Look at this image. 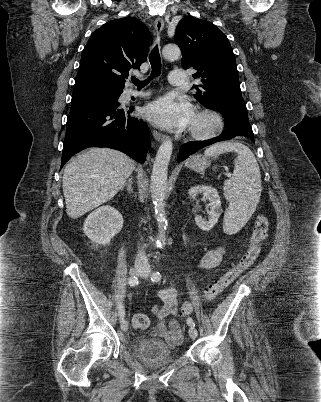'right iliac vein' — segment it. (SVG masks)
<instances>
[{
    "instance_id": "right-iliac-vein-1",
    "label": "right iliac vein",
    "mask_w": 321,
    "mask_h": 402,
    "mask_svg": "<svg viewBox=\"0 0 321 402\" xmlns=\"http://www.w3.org/2000/svg\"><path fill=\"white\" fill-rule=\"evenodd\" d=\"M145 272V269L142 266H135L131 271V275L136 274V275H141ZM128 322L126 320H123L121 322V329L122 331L126 332L128 330Z\"/></svg>"
}]
</instances>
